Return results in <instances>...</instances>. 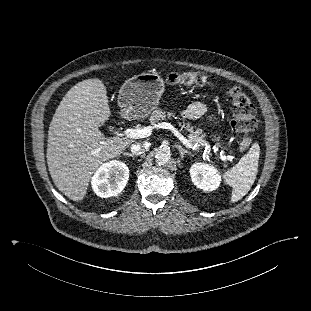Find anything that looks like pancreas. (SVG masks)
<instances>
[{"label": "pancreas", "instance_id": "cf45deb5", "mask_svg": "<svg viewBox=\"0 0 311 311\" xmlns=\"http://www.w3.org/2000/svg\"><path fill=\"white\" fill-rule=\"evenodd\" d=\"M167 117H175V119L178 118L172 112L166 114L165 111L158 109L152 112L149 121L152 125H156V123L166 119ZM179 125H181L182 128H185L187 132H189L188 139L190 142L198 143L199 146H204L207 144V141L204 139L206 135L201 129L194 130L193 126H191L190 123H186V125L185 123H179Z\"/></svg>", "mask_w": 311, "mask_h": 311}]
</instances>
